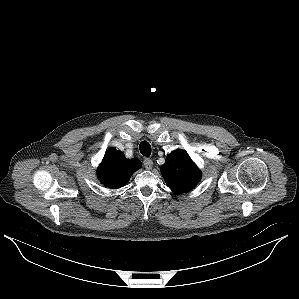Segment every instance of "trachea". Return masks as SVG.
I'll use <instances>...</instances> for the list:
<instances>
[{
    "label": "trachea",
    "instance_id": "obj_1",
    "mask_svg": "<svg viewBox=\"0 0 299 299\" xmlns=\"http://www.w3.org/2000/svg\"><path fill=\"white\" fill-rule=\"evenodd\" d=\"M140 153L143 156H150L151 155V146L147 141H142L139 145Z\"/></svg>",
    "mask_w": 299,
    "mask_h": 299
}]
</instances>
